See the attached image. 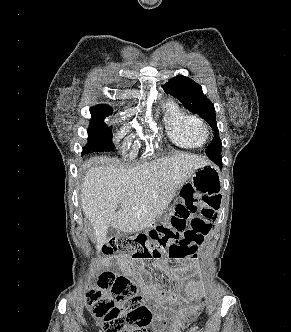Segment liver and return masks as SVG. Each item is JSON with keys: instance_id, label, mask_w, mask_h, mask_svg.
<instances>
[{"instance_id": "liver-1", "label": "liver", "mask_w": 291, "mask_h": 332, "mask_svg": "<svg viewBox=\"0 0 291 332\" xmlns=\"http://www.w3.org/2000/svg\"><path fill=\"white\" fill-rule=\"evenodd\" d=\"M209 164L204 156L174 153L132 168L105 161L93 165L83 178L80 201L93 226L96 248L107 242L109 226L124 233L148 227L192 174Z\"/></svg>"}]
</instances>
